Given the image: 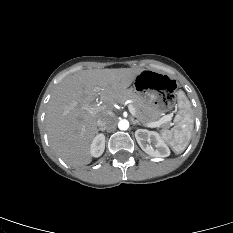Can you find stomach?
<instances>
[{"label": "stomach", "instance_id": "obj_1", "mask_svg": "<svg viewBox=\"0 0 233 233\" xmlns=\"http://www.w3.org/2000/svg\"><path fill=\"white\" fill-rule=\"evenodd\" d=\"M132 90L156 111L168 113L177 104L180 86L168 75L146 69L137 75Z\"/></svg>", "mask_w": 233, "mask_h": 233}]
</instances>
